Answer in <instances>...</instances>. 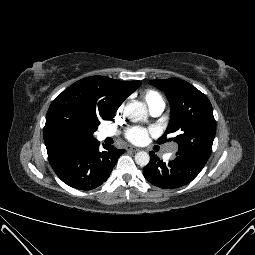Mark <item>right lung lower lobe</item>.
I'll return each instance as SVG.
<instances>
[{
    "instance_id": "obj_1",
    "label": "right lung lower lobe",
    "mask_w": 255,
    "mask_h": 255,
    "mask_svg": "<svg viewBox=\"0 0 255 255\" xmlns=\"http://www.w3.org/2000/svg\"><path fill=\"white\" fill-rule=\"evenodd\" d=\"M99 149L97 140L81 143L49 156L58 177L79 190H91L102 185L110 176L117 159L124 150L112 145Z\"/></svg>"
}]
</instances>
